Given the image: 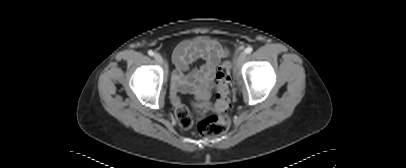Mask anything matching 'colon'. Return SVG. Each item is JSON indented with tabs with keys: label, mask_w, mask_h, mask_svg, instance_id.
I'll return each mask as SVG.
<instances>
[{
	"label": "colon",
	"mask_w": 406,
	"mask_h": 168,
	"mask_svg": "<svg viewBox=\"0 0 406 168\" xmlns=\"http://www.w3.org/2000/svg\"><path fill=\"white\" fill-rule=\"evenodd\" d=\"M217 99L215 110L220 114H208L207 106L196 104L193 110H190L184 104H178L175 109V116L179 125L183 128H190L194 120L197 121L199 134L204 138L215 137L223 134L230 125V118L224 112L230 104L231 99V75L230 64L224 62L220 65L216 73Z\"/></svg>",
	"instance_id": "colon-1"
}]
</instances>
